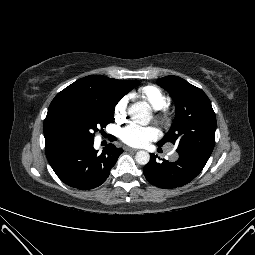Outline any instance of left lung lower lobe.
Listing matches in <instances>:
<instances>
[{"label":"left lung lower lobe","instance_id":"0a47b994","mask_svg":"<svg viewBox=\"0 0 255 255\" xmlns=\"http://www.w3.org/2000/svg\"><path fill=\"white\" fill-rule=\"evenodd\" d=\"M175 162L156 161L152 154L149 163L144 167L146 179L159 188H177L192 181L204 168L209 157L191 152H178Z\"/></svg>","mask_w":255,"mask_h":255}]
</instances>
